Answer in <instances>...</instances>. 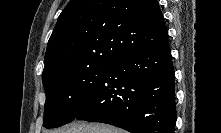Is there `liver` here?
Segmentation results:
<instances>
[{
	"instance_id": "obj_1",
	"label": "liver",
	"mask_w": 221,
	"mask_h": 133,
	"mask_svg": "<svg viewBox=\"0 0 221 133\" xmlns=\"http://www.w3.org/2000/svg\"><path fill=\"white\" fill-rule=\"evenodd\" d=\"M54 133H124V130L102 123H86L76 121L57 129Z\"/></svg>"
}]
</instances>
